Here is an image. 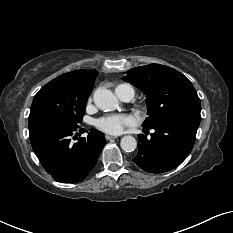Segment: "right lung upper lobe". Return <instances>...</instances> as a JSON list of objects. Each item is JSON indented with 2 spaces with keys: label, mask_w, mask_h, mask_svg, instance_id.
<instances>
[{
  "label": "right lung upper lobe",
  "mask_w": 233,
  "mask_h": 233,
  "mask_svg": "<svg viewBox=\"0 0 233 233\" xmlns=\"http://www.w3.org/2000/svg\"><path fill=\"white\" fill-rule=\"evenodd\" d=\"M96 70H77L62 74L57 77L58 80H63L67 84L77 88L92 87L95 83V78L98 76Z\"/></svg>",
  "instance_id": "right-lung-upper-lobe-1"
}]
</instances>
